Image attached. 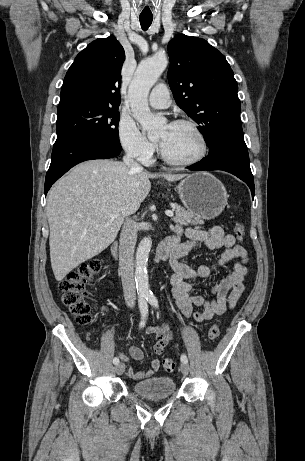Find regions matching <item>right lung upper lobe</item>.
Segmentation results:
<instances>
[{"instance_id": "right-lung-upper-lobe-1", "label": "right lung upper lobe", "mask_w": 305, "mask_h": 461, "mask_svg": "<svg viewBox=\"0 0 305 461\" xmlns=\"http://www.w3.org/2000/svg\"><path fill=\"white\" fill-rule=\"evenodd\" d=\"M124 60V49L114 36L90 43L67 71L58 107L76 103L118 107Z\"/></svg>"}]
</instances>
